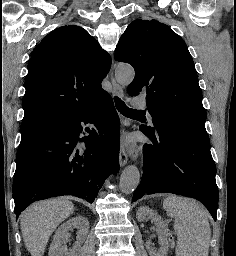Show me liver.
Returning <instances> with one entry per match:
<instances>
[{
  "instance_id": "obj_1",
  "label": "liver",
  "mask_w": 236,
  "mask_h": 256,
  "mask_svg": "<svg viewBox=\"0 0 236 256\" xmlns=\"http://www.w3.org/2000/svg\"><path fill=\"white\" fill-rule=\"evenodd\" d=\"M74 212L68 198L37 202L21 216L23 242L31 256H44L48 240L57 226Z\"/></svg>"
}]
</instances>
